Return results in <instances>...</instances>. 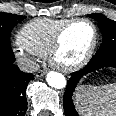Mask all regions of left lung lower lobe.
Wrapping results in <instances>:
<instances>
[{
	"label": "left lung lower lobe",
	"instance_id": "obj_1",
	"mask_svg": "<svg viewBox=\"0 0 116 116\" xmlns=\"http://www.w3.org/2000/svg\"><path fill=\"white\" fill-rule=\"evenodd\" d=\"M104 68H116V53L105 56H93L83 69L71 74L63 96V106L66 116H79L75 110L72 97L81 78Z\"/></svg>",
	"mask_w": 116,
	"mask_h": 116
}]
</instances>
